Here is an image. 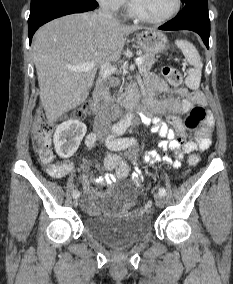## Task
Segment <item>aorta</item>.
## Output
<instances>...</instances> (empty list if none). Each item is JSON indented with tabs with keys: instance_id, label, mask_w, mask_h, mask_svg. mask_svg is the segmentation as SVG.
Segmentation results:
<instances>
[{
	"instance_id": "1",
	"label": "aorta",
	"mask_w": 233,
	"mask_h": 284,
	"mask_svg": "<svg viewBox=\"0 0 233 284\" xmlns=\"http://www.w3.org/2000/svg\"><path fill=\"white\" fill-rule=\"evenodd\" d=\"M133 118L134 115L132 113L126 114L124 119L119 122V126L123 129H127L131 125Z\"/></svg>"
}]
</instances>
